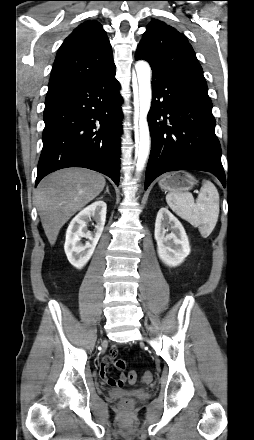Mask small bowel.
<instances>
[{"label": "small bowel", "mask_w": 254, "mask_h": 440, "mask_svg": "<svg viewBox=\"0 0 254 440\" xmlns=\"http://www.w3.org/2000/svg\"><path fill=\"white\" fill-rule=\"evenodd\" d=\"M117 354V349L115 347H113L109 354L106 355L101 362V368L99 371V376L109 385L111 386H117L116 385V380L111 378L109 376V367L114 359V357Z\"/></svg>", "instance_id": "obj_1"}]
</instances>
